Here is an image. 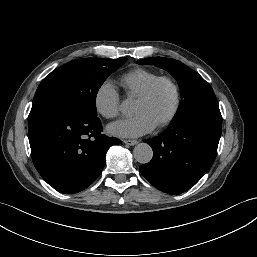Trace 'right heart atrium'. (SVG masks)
<instances>
[{
    "label": "right heart atrium",
    "instance_id": "right-heart-atrium-1",
    "mask_svg": "<svg viewBox=\"0 0 257 257\" xmlns=\"http://www.w3.org/2000/svg\"><path fill=\"white\" fill-rule=\"evenodd\" d=\"M94 107L106 119L116 118L121 110V98L110 82H104L94 94Z\"/></svg>",
    "mask_w": 257,
    "mask_h": 257
}]
</instances>
